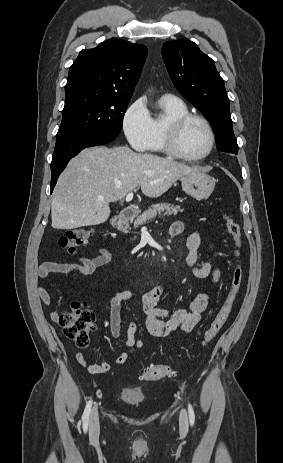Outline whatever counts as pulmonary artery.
<instances>
[{"mask_svg":"<svg viewBox=\"0 0 283 463\" xmlns=\"http://www.w3.org/2000/svg\"><path fill=\"white\" fill-rule=\"evenodd\" d=\"M163 97H173V96L170 94H167V95H164Z\"/></svg>","mask_w":283,"mask_h":463,"instance_id":"pulmonary-artery-1","label":"pulmonary artery"}]
</instances>
